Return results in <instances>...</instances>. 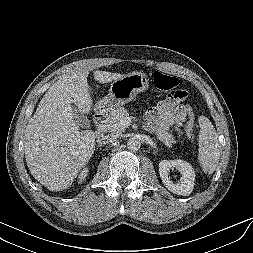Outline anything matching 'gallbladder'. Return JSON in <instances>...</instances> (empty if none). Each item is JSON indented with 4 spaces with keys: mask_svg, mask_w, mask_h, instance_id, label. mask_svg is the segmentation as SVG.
I'll return each mask as SVG.
<instances>
[{
    "mask_svg": "<svg viewBox=\"0 0 253 253\" xmlns=\"http://www.w3.org/2000/svg\"><path fill=\"white\" fill-rule=\"evenodd\" d=\"M74 114H75V121L84 128H89L91 126L90 121L86 116L78 111V109L74 106Z\"/></svg>",
    "mask_w": 253,
    "mask_h": 253,
    "instance_id": "1",
    "label": "gallbladder"
}]
</instances>
